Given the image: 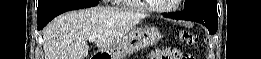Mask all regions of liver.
I'll list each match as a JSON object with an SVG mask.
<instances>
[{
  "instance_id": "obj_1",
  "label": "liver",
  "mask_w": 261,
  "mask_h": 59,
  "mask_svg": "<svg viewBox=\"0 0 261 59\" xmlns=\"http://www.w3.org/2000/svg\"><path fill=\"white\" fill-rule=\"evenodd\" d=\"M145 17L102 6L66 12L43 30L45 59H85L90 36L97 37L94 42L98 48L108 49Z\"/></svg>"
}]
</instances>
